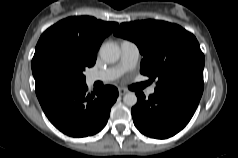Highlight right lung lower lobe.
Returning <instances> with one entry per match:
<instances>
[{"instance_id": "98d812e1", "label": "right lung lower lobe", "mask_w": 238, "mask_h": 158, "mask_svg": "<svg viewBox=\"0 0 238 158\" xmlns=\"http://www.w3.org/2000/svg\"><path fill=\"white\" fill-rule=\"evenodd\" d=\"M36 95L50 122L71 137H86L106 125L118 90L107 85L89 93L86 83L60 81L52 77L35 80Z\"/></svg>"}]
</instances>
